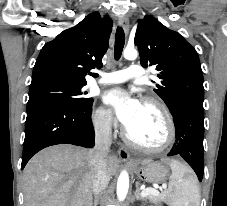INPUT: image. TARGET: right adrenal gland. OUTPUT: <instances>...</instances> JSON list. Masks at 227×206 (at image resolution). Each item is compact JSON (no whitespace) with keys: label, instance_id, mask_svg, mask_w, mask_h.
Wrapping results in <instances>:
<instances>
[{"label":"right adrenal gland","instance_id":"obj_1","mask_svg":"<svg viewBox=\"0 0 227 206\" xmlns=\"http://www.w3.org/2000/svg\"><path fill=\"white\" fill-rule=\"evenodd\" d=\"M97 205H98V198L96 197L93 206H97Z\"/></svg>","mask_w":227,"mask_h":206}]
</instances>
